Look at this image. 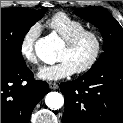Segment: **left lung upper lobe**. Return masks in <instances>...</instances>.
I'll list each match as a JSON object with an SVG mask.
<instances>
[{
	"label": "left lung upper lobe",
	"mask_w": 123,
	"mask_h": 123,
	"mask_svg": "<svg viewBox=\"0 0 123 123\" xmlns=\"http://www.w3.org/2000/svg\"><path fill=\"white\" fill-rule=\"evenodd\" d=\"M75 14L98 27L104 39L103 53L91 69L109 61L123 60V28L106 9L91 6L76 9Z\"/></svg>",
	"instance_id": "left-lung-upper-lobe-1"
}]
</instances>
